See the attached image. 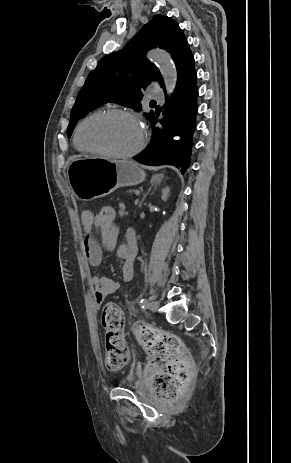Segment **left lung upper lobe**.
<instances>
[{"label": "left lung upper lobe", "mask_w": 291, "mask_h": 463, "mask_svg": "<svg viewBox=\"0 0 291 463\" xmlns=\"http://www.w3.org/2000/svg\"><path fill=\"white\" fill-rule=\"evenodd\" d=\"M155 45L171 55L178 79L194 69V57L178 24L169 17L154 16L122 50L103 57L89 73L71 110L68 137L79 119L105 103L141 110L146 84L159 80L163 85L158 68L145 59L146 52ZM145 115L150 119L153 112Z\"/></svg>", "instance_id": "left-lung-upper-lobe-1"}]
</instances>
